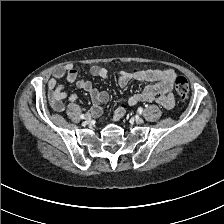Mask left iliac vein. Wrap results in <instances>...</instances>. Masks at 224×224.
Masks as SVG:
<instances>
[{
    "label": "left iliac vein",
    "instance_id": "obj_1",
    "mask_svg": "<svg viewBox=\"0 0 224 224\" xmlns=\"http://www.w3.org/2000/svg\"><path fill=\"white\" fill-rule=\"evenodd\" d=\"M135 121L137 124H142L144 122V120L141 117H136Z\"/></svg>",
    "mask_w": 224,
    "mask_h": 224
}]
</instances>
